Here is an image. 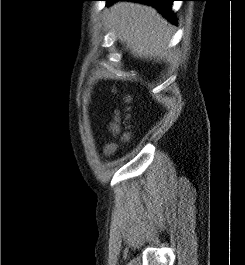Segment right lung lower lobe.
<instances>
[{
  "label": "right lung lower lobe",
  "instance_id": "obj_1",
  "mask_svg": "<svg viewBox=\"0 0 245 265\" xmlns=\"http://www.w3.org/2000/svg\"><path fill=\"white\" fill-rule=\"evenodd\" d=\"M105 1L107 2V5H110L115 1H135V2L146 3L156 7L168 20L171 21V23L176 24V19L173 13L171 12V5L172 2L175 0H105Z\"/></svg>",
  "mask_w": 245,
  "mask_h": 265
}]
</instances>
